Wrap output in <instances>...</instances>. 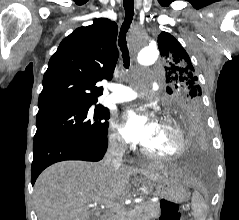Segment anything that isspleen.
I'll return each instance as SVG.
<instances>
[{
	"label": "spleen",
	"instance_id": "obj_1",
	"mask_svg": "<svg viewBox=\"0 0 239 220\" xmlns=\"http://www.w3.org/2000/svg\"><path fill=\"white\" fill-rule=\"evenodd\" d=\"M192 209L195 220L206 219L207 205L197 191H195L192 195Z\"/></svg>",
	"mask_w": 239,
	"mask_h": 220
}]
</instances>
